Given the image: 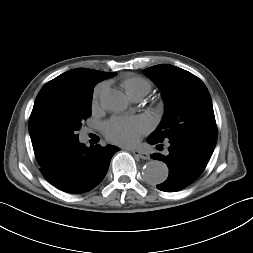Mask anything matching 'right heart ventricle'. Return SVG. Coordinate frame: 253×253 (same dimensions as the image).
Wrapping results in <instances>:
<instances>
[{
	"instance_id": "e07e8e85",
	"label": "right heart ventricle",
	"mask_w": 253,
	"mask_h": 253,
	"mask_svg": "<svg viewBox=\"0 0 253 253\" xmlns=\"http://www.w3.org/2000/svg\"><path fill=\"white\" fill-rule=\"evenodd\" d=\"M122 86L128 96L136 94L146 95L151 90V83L146 78L137 75H131L124 78Z\"/></svg>"
}]
</instances>
